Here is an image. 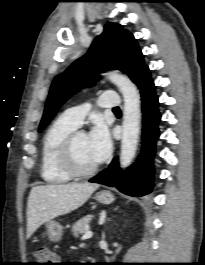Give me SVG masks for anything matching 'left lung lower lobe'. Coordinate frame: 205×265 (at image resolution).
Segmentation results:
<instances>
[{"mask_svg": "<svg viewBox=\"0 0 205 265\" xmlns=\"http://www.w3.org/2000/svg\"><path fill=\"white\" fill-rule=\"evenodd\" d=\"M136 84L142 97L143 143L141 154L136 164L126 171H120L117 160L114 159L109 168L91 178L89 182L116 187L127 195L140 197L149 194L154 186L153 156L155 155V142L159 136L160 114L158 97L148 67L144 69Z\"/></svg>", "mask_w": 205, "mask_h": 265, "instance_id": "1", "label": "left lung lower lobe"}]
</instances>
